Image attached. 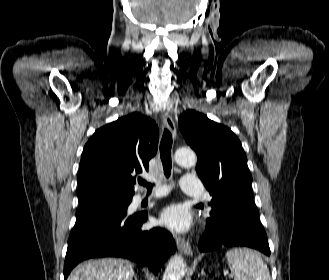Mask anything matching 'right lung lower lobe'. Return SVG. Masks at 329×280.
<instances>
[{"instance_id": "obj_1", "label": "right lung lower lobe", "mask_w": 329, "mask_h": 280, "mask_svg": "<svg viewBox=\"0 0 329 280\" xmlns=\"http://www.w3.org/2000/svg\"><path fill=\"white\" fill-rule=\"evenodd\" d=\"M146 220V213L127 216V207L113 205L78 216L68 240L64 280L78 263L95 257L127 258L156 273L175 252V242L170 233L159 228L142 231Z\"/></svg>"}]
</instances>
